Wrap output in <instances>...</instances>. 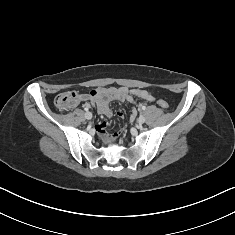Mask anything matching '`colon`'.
<instances>
[{
    "mask_svg": "<svg viewBox=\"0 0 235 235\" xmlns=\"http://www.w3.org/2000/svg\"><path fill=\"white\" fill-rule=\"evenodd\" d=\"M80 100H81V95L78 92L68 91L58 94L55 97L54 103L59 110L65 111L75 107ZM157 103L163 109L168 108V103L163 99H159Z\"/></svg>",
    "mask_w": 235,
    "mask_h": 235,
    "instance_id": "1",
    "label": "colon"
}]
</instances>
